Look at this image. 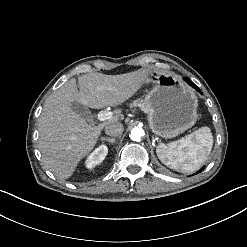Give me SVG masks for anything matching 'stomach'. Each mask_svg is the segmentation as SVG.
<instances>
[{
    "label": "stomach",
    "instance_id": "1",
    "mask_svg": "<svg viewBox=\"0 0 247 247\" xmlns=\"http://www.w3.org/2000/svg\"><path fill=\"white\" fill-rule=\"evenodd\" d=\"M145 84L150 90L144 99V108L155 135L173 138L196 123L198 99L181 76L151 70Z\"/></svg>",
    "mask_w": 247,
    "mask_h": 247
}]
</instances>
